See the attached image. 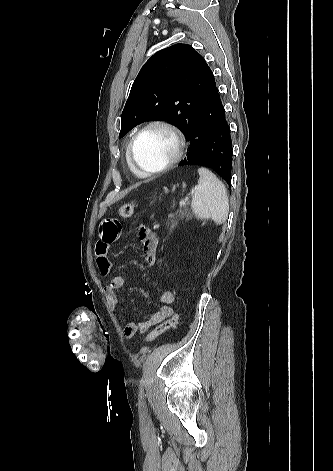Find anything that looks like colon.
<instances>
[{
	"instance_id": "5ec220e1",
	"label": "colon",
	"mask_w": 333,
	"mask_h": 471,
	"mask_svg": "<svg viewBox=\"0 0 333 471\" xmlns=\"http://www.w3.org/2000/svg\"><path fill=\"white\" fill-rule=\"evenodd\" d=\"M134 211H135V205L128 203L119 207L118 214L122 218H128L133 215ZM178 325H179V315L175 314L170 319L158 325L152 332H150L147 335L145 341L147 343L151 342L162 333L166 332L167 330L171 328H176Z\"/></svg>"
}]
</instances>
